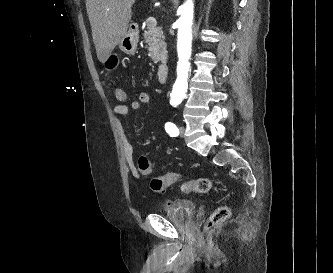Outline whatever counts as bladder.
<instances>
[{
	"label": "bladder",
	"instance_id": "obj_1",
	"mask_svg": "<svg viewBox=\"0 0 333 273\" xmlns=\"http://www.w3.org/2000/svg\"><path fill=\"white\" fill-rule=\"evenodd\" d=\"M195 205L191 200L179 199L162 209V215L178 227H189L195 220Z\"/></svg>",
	"mask_w": 333,
	"mask_h": 273
}]
</instances>
